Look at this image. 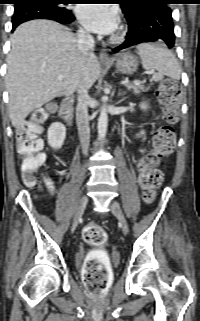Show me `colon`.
I'll use <instances>...</instances> for the list:
<instances>
[{
    "label": "colon",
    "mask_w": 200,
    "mask_h": 321,
    "mask_svg": "<svg viewBox=\"0 0 200 321\" xmlns=\"http://www.w3.org/2000/svg\"><path fill=\"white\" fill-rule=\"evenodd\" d=\"M181 87L172 79L163 80L157 89V99L162 107L163 117L167 125L160 127L152 140V154L140 159L138 163L139 183L143 189V198L151 202L163 181V173L158 168L159 159L170 155L176 145L173 125L179 120V98ZM53 109L47 105L45 109L35 111L17 130V150L21 157L23 181L27 186L35 184V173L44 162L43 142L39 137L42 124ZM83 239L89 245L101 248L107 241V233L96 224L84 227ZM83 280L87 289L97 297L103 296L109 280V267L106 256L101 250L93 251L86 259L83 268Z\"/></svg>",
    "instance_id": "colon-1"
}]
</instances>
